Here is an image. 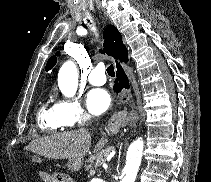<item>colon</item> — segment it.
<instances>
[{
	"label": "colon",
	"mask_w": 211,
	"mask_h": 182,
	"mask_svg": "<svg viewBox=\"0 0 211 182\" xmlns=\"http://www.w3.org/2000/svg\"><path fill=\"white\" fill-rule=\"evenodd\" d=\"M45 179L47 180L46 182H68L69 177L60 172H51V173H46Z\"/></svg>",
	"instance_id": "obj_1"
}]
</instances>
